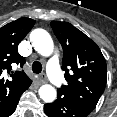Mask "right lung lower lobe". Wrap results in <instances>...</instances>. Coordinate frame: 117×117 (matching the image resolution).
Segmentation results:
<instances>
[{
  "label": "right lung lower lobe",
  "mask_w": 117,
  "mask_h": 117,
  "mask_svg": "<svg viewBox=\"0 0 117 117\" xmlns=\"http://www.w3.org/2000/svg\"><path fill=\"white\" fill-rule=\"evenodd\" d=\"M18 101L19 99L16 102H14L8 110L1 114L0 117H9L15 111Z\"/></svg>",
  "instance_id": "98d812e1"
}]
</instances>
